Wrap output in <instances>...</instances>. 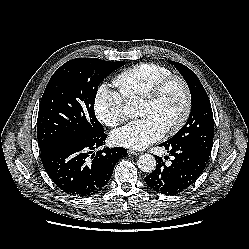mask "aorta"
<instances>
[{
    "mask_svg": "<svg viewBox=\"0 0 249 249\" xmlns=\"http://www.w3.org/2000/svg\"><path fill=\"white\" fill-rule=\"evenodd\" d=\"M125 109L127 110V112H131L135 110V107L132 103H128L125 106ZM138 164V168L146 173H151L155 170L156 168V159L153 155L151 154H143L138 158L137 161Z\"/></svg>",
    "mask_w": 249,
    "mask_h": 249,
    "instance_id": "1",
    "label": "aorta"
}]
</instances>
